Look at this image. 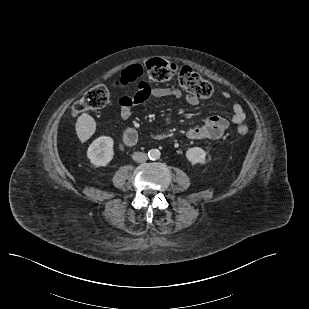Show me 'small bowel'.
I'll use <instances>...</instances> for the list:
<instances>
[{
    "label": "small bowel",
    "instance_id": "obj_1",
    "mask_svg": "<svg viewBox=\"0 0 309 309\" xmlns=\"http://www.w3.org/2000/svg\"><path fill=\"white\" fill-rule=\"evenodd\" d=\"M126 69L113 80L112 84L114 88L125 87L133 82L126 76ZM222 96L225 99L231 98L230 93L226 91L222 92ZM166 97L180 99L183 97V94L179 89L174 87H152L147 82L142 81L139 83L138 88L133 95L123 96L119 99L120 116L122 119L127 120L131 117L132 109L136 105L146 102L149 98ZM185 100L191 106H196L199 103L198 98L190 94L185 96ZM232 109V122L237 125L242 124L246 118L243 107L239 103H234ZM228 127L229 121L226 118L219 115H212L207 117L202 125L190 128L187 131V137L191 140H215L222 137ZM137 140V131L132 127H128L123 135L124 144L127 146H133L136 144Z\"/></svg>",
    "mask_w": 309,
    "mask_h": 309
}]
</instances>
